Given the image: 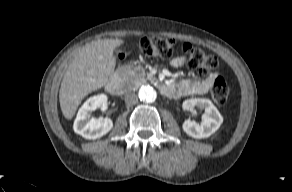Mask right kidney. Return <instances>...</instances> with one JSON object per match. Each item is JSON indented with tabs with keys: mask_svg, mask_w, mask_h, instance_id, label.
<instances>
[{
	"mask_svg": "<svg viewBox=\"0 0 292 192\" xmlns=\"http://www.w3.org/2000/svg\"><path fill=\"white\" fill-rule=\"evenodd\" d=\"M108 97L105 94L90 97L81 106L74 121L73 129L75 133L86 139H97L107 134L113 127L110 118H90V113L97 108L107 106Z\"/></svg>",
	"mask_w": 292,
	"mask_h": 192,
	"instance_id": "right-kidney-1",
	"label": "right kidney"
}]
</instances>
